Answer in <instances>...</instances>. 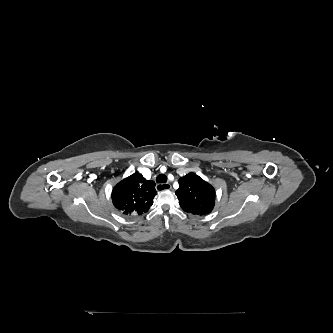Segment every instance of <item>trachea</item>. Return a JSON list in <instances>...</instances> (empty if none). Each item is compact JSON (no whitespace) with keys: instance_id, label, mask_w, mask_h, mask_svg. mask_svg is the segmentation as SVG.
<instances>
[{"instance_id":"1","label":"trachea","mask_w":333,"mask_h":333,"mask_svg":"<svg viewBox=\"0 0 333 333\" xmlns=\"http://www.w3.org/2000/svg\"><path fill=\"white\" fill-rule=\"evenodd\" d=\"M157 183H166L167 182V176L164 174H160L156 178Z\"/></svg>"}]
</instances>
